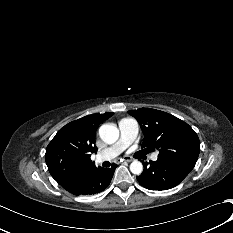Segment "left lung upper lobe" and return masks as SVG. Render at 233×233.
<instances>
[{"label":"left lung upper lobe","mask_w":233,"mask_h":233,"mask_svg":"<svg viewBox=\"0 0 233 233\" xmlns=\"http://www.w3.org/2000/svg\"><path fill=\"white\" fill-rule=\"evenodd\" d=\"M128 113L144 133L142 148L159 149L158 159L190 172L198 159L200 141L196 132L179 118L155 109L140 108Z\"/></svg>","instance_id":"1"}]
</instances>
